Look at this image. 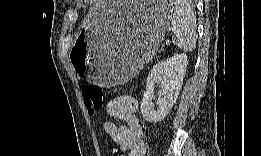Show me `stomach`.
I'll return each instance as SVG.
<instances>
[{"mask_svg":"<svg viewBox=\"0 0 261 156\" xmlns=\"http://www.w3.org/2000/svg\"><path fill=\"white\" fill-rule=\"evenodd\" d=\"M170 17L167 2L100 3L70 56L77 73L102 87L128 81L155 56Z\"/></svg>","mask_w":261,"mask_h":156,"instance_id":"stomach-1","label":"stomach"}]
</instances>
